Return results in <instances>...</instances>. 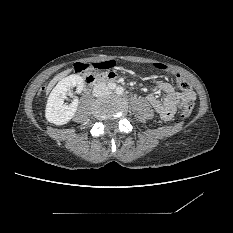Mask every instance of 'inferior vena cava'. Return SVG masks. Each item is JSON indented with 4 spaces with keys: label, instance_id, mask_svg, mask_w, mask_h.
Here are the masks:
<instances>
[{
    "label": "inferior vena cava",
    "instance_id": "inferior-vena-cava-1",
    "mask_svg": "<svg viewBox=\"0 0 233 233\" xmlns=\"http://www.w3.org/2000/svg\"><path fill=\"white\" fill-rule=\"evenodd\" d=\"M109 93V90L105 83H98L93 88V95L95 97H102L104 95H107Z\"/></svg>",
    "mask_w": 233,
    "mask_h": 233
}]
</instances>
